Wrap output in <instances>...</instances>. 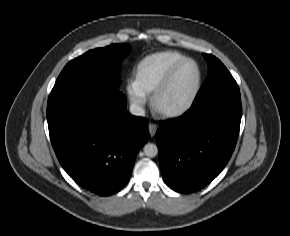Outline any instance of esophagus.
<instances>
[{"mask_svg":"<svg viewBox=\"0 0 290 236\" xmlns=\"http://www.w3.org/2000/svg\"><path fill=\"white\" fill-rule=\"evenodd\" d=\"M148 130H149L151 137H153L157 131V125L154 123H149Z\"/></svg>","mask_w":290,"mask_h":236,"instance_id":"34e87169","label":"esophagus"}]
</instances>
